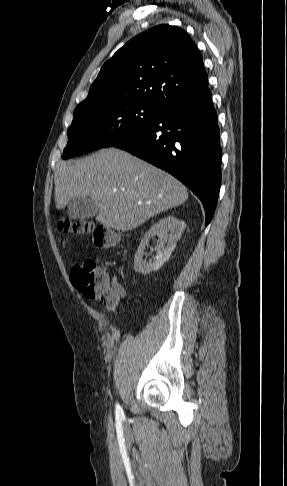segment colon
Segmentation results:
<instances>
[{
  "label": "colon",
  "mask_w": 287,
  "mask_h": 486,
  "mask_svg": "<svg viewBox=\"0 0 287 486\" xmlns=\"http://www.w3.org/2000/svg\"><path fill=\"white\" fill-rule=\"evenodd\" d=\"M59 228L76 234L89 235L100 248H111L117 244L116 233L103 225L87 220H62ZM74 287L87 298L102 302L106 306L116 305L120 298L113 289L111 279L95 260L86 259L76 264L70 274Z\"/></svg>",
  "instance_id": "obj_1"
}]
</instances>
